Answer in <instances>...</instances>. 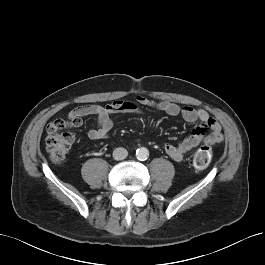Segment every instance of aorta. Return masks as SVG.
I'll use <instances>...</instances> for the list:
<instances>
[{
  "instance_id": "obj_1",
  "label": "aorta",
  "mask_w": 265,
  "mask_h": 265,
  "mask_svg": "<svg viewBox=\"0 0 265 265\" xmlns=\"http://www.w3.org/2000/svg\"><path fill=\"white\" fill-rule=\"evenodd\" d=\"M149 156V151L145 147H140L136 150V157L138 160L145 161Z\"/></svg>"
}]
</instances>
